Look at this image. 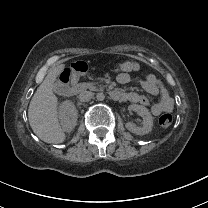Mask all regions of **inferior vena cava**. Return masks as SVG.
<instances>
[{"label": "inferior vena cava", "mask_w": 208, "mask_h": 208, "mask_svg": "<svg viewBox=\"0 0 208 208\" xmlns=\"http://www.w3.org/2000/svg\"><path fill=\"white\" fill-rule=\"evenodd\" d=\"M94 96V93L91 91H83L79 94V100L81 102H87L90 101Z\"/></svg>", "instance_id": "obj_1"}]
</instances>
